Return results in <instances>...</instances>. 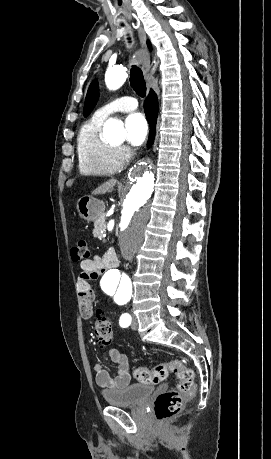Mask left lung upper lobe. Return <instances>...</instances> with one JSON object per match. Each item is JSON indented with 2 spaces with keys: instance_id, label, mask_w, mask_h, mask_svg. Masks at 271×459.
<instances>
[{
  "instance_id": "1",
  "label": "left lung upper lobe",
  "mask_w": 271,
  "mask_h": 459,
  "mask_svg": "<svg viewBox=\"0 0 271 459\" xmlns=\"http://www.w3.org/2000/svg\"><path fill=\"white\" fill-rule=\"evenodd\" d=\"M99 97V88H98V83L96 80H94L91 85L89 86L87 95H86V100L84 104V110H83V115L87 116L92 109L95 107Z\"/></svg>"
}]
</instances>
